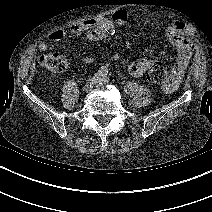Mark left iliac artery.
<instances>
[{
  "mask_svg": "<svg viewBox=\"0 0 212 212\" xmlns=\"http://www.w3.org/2000/svg\"><path fill=\"white\" fill-rule=\"evenodd\" d=\"M103 82H104V83H108V82H109V78H108V77H104V78H103Z\"/></svg>",
  "mask_w": 212,
  "mask_h": 212,
  "instance_id": "obj_1",
  "label": "left iliac artery"
}]
</instances>
